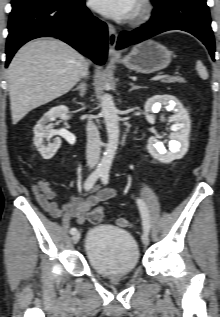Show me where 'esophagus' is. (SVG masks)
<instances>
[{"instance_id":"1","label":"esophagus","mask_w":220,"mask_h":317,"mask_svg":"<svg viewBox=\"0 0 220 317\" xmlns=\"http://www.w3.org/2000/svg\"><path fill=\"white\" fill-rule=\"evenodd\" d=\"M117 31L115 29V27L108 23V46H109V50H108V55L109 57L113 58L116 57L118 54L116 52V43H117Z\"/></svg>"}]
</instances>
